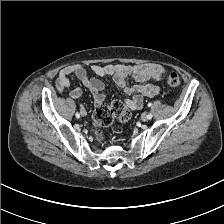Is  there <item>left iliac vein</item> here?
Instances as JSON below:
<instances>
[{"instance_id":"1","label":"left iliac vein","mask_w":224,"mask_h":224,"mask_svg":"<svg viewBox=\"0 0 224 224\" xmlns=\"http://www.w3.org/2000/svg\"><path fill=\"white\" fill-rule=\"evenodd\" d=\"M142 121H147L148 119V115L146 113H143L141 116Z\"/></svg>"}]
</instances>
